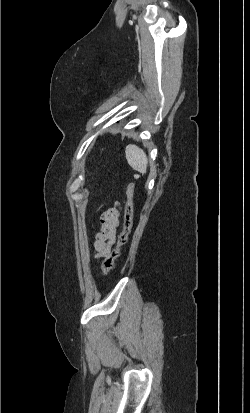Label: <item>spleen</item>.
<instances>
[{
	"instance_id": "obj_1",
	"label": "spleen",
	"mask_w": 250,
	"mask_h": 413,
	"mask_svg": "<svg viewBox=\"0 0 250 413\" xmlns=\"http://www.w3.org/2000/svg\"><path fill=\"white\" fill-rule=\"evenodd\" d=\"M128 164L136 171L145 174L147 171L148 159L145 152L136 145H128L125 149Z\"/></svg>"
}]
</instances>
